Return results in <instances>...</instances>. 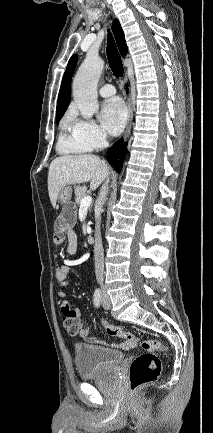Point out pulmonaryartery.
I'll return each mask as SVG.
<instances>
[{
	"label": "pulmonary artery",
	"instance_id": "1",
	"mask_svg": "<svg viewBox=\"0 0 213 433\" xmlns=\"http://www.w3.org/2000/svg\"><path fill=\"white\" fill-rule=\"evenodd\" d=\"M99 93L102 97H111L116 93V89L113 85L106 84L100 88Z\"/></svg>",
	"mask_w": 213,
	"mask_h": 433
}]
</instances>
